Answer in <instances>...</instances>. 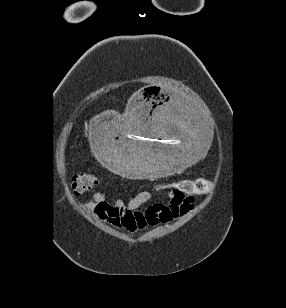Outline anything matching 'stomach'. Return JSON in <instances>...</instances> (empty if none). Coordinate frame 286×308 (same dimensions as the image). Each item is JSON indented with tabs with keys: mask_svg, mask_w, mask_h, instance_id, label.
Masks as SVG:
<instances>
[{
	"mask_svg": "<svg viewBox=\"0 0 286 308\" xmlns=\"http://www.w3.org/2000/svg\"><path fill=\"white\" fill-rule=\"evenodd\" d=\"M182 91H160L156 84L138 90L126 117L102 109L88 122V149L106 171L125 174L131 182L148 177H178L196 168L209 153L213 125L208 112Z\"/></svg>",
	"mask_w": 286,
	"mask_h": 308,
	"instance_id": "1",
	"label": "stomach"
}]
</instances>
